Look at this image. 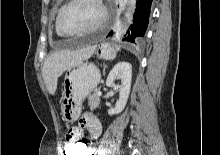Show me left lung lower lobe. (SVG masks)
Returning <instances> with one entry per match:
<instances>
[{"label":"left lung lower lobe","mask_w":220,"mask_h":155,"mask_svg":"<svg viewBox=\"0 0 220 155\" xmlns=\"http://www.w3.org/2000/svg\"><path fill=\"white\" fill-rule=\"evenodd\" d=\"M151 3L152 0H137V9L134 14L133 24L130 26V30L127 32V41L136 45H140L142 43V38L149 22ZM110 35H112V32L109 34V36Z\"/></svg>","instance_id":"obj_1"}]
</instances>
